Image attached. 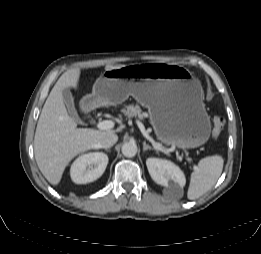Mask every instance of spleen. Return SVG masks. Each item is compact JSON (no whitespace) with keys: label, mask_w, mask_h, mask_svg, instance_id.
Listing matches in <instances>:
<instances>
[{"label":"spleen","mask_w":261,"mask_h":254,"mask_svg":"<svg viewBox=\"0 0 261 254\" xmlns=\"http://www.w3.org/2000/svg\"><path fill=\"white\" fill-rule=\"evenodd\" d=\"M224 160L220 155L201 159L192 172L187 197L195 200L209 191L217 182L223 170Z\"/></svg>","instance_id":"3e777b00"}]
</instances>
